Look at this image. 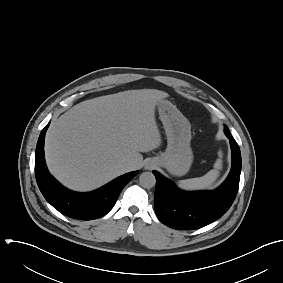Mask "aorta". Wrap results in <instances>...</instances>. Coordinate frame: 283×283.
<instances>
[{
	"mask_svg": "<svg viewBox=\"0 0 283 283\" xmlns=\"http://www.w3.org/2000/svg\"><path fill=\"white\" fill-rule=\"evenodd\" d=\"M139 182L143 188L150 189L155 186L156 178L152 172H143L139 177Z\"/></svg>",
	"mask_w": 283,
	"mask_h": 283,
	"instance_id": "obj_1",
	"label": "aorta"
}]
</instances>
